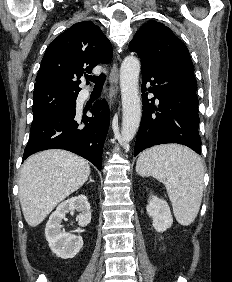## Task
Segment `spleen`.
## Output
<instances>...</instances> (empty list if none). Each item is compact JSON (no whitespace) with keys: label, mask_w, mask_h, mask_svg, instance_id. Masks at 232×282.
I'll return each instance as SVG.
<instances>
[{"label":"spleen","mask_w":232,"mask_h":282,"mask_svg":"<svg viewBox=\"0 0 232 282\" xmlns=\"http://www.w3.org/2000/svg\"><path fill=\"white\" fill-rule=\"evenodd\" d=\"M136 171L165 184L174 215L181 225H190L195 220L202 201L204 176L197 154L175 144L156 146L141 153Z\"/></svg>","instance_id":"1"}]
</instances>
